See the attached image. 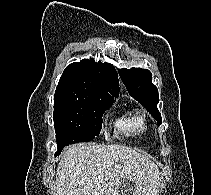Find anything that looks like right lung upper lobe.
Here are the masks:
<instances>
[{"mask_svg": "<svg viewBox=\"0 0 211 195\" xmlns=\"http://www.w3.org/2000/svg\"><path fill=\"white\" fill-rule=\"evenodd\" d=\"M118 95L119 81L114 67L84 59L66 67L54 98L113 102Z\"/></svg>", "mask_w": 211, "mask_h": 195, "instance_id": "1", "label": "right lung upper lobe"}]
</instances>
